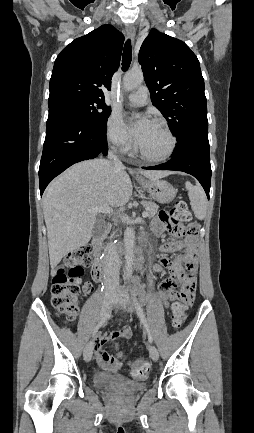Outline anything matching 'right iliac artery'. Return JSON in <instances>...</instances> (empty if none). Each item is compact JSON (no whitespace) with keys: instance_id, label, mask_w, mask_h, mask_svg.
I'll return each instance as SVG.
<instances>
[{"instance_id":"right-iliac-artery-1","label":"right iliac artery","mask_w":254,"mask_h":433,"mask_svg":"<svg viewBox=\"0 0 254 433\" xmlns=\"http://www.w3.org/2000/svg\"><path fill=\"white\" fill-rule=\"evenodd\" d=\"M110 317V312H107L104 317L99 321L94 329L93 336L96 335L97 331L105 324L106 320Z\"/></svg>"}]
</instances>
